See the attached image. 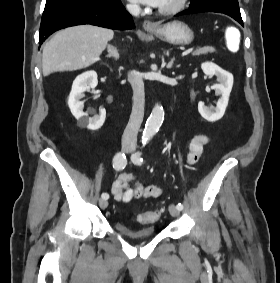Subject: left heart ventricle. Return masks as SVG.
Returning a JSON list of instances; mask_svg holds the SVG:
<instances>
[{
    "label": "left heart ventricle",
    "instance_id": "obj_1",
    "mask_svg": "<svg viewBox=\"0 0 280 283\" xmlns=\"http://www.w3.org/2000/svg\"><path fill=\"white\" fill-rule=\"evenodd\" d=\"M176 0H164L160 7H168L175 3Z\"/></svg>",
    "mask_w": 280,
    "mask_h": 283
}]
</instances>
